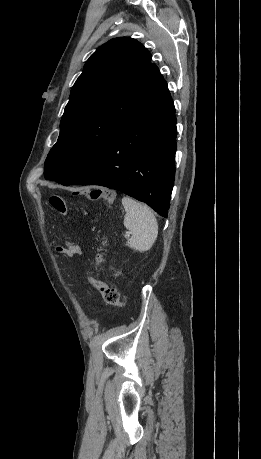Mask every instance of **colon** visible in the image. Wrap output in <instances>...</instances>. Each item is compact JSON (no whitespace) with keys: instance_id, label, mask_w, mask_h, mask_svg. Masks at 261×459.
Returning <instances> with one entry per match:
<instances>
[{"instance_id":"obj_1","label":"colon","mask_w":261,"mask_h":459,"mask_svg":"<svg viewBox=\"0 0 261 459\" xmlns=\"http://www.w3.org/2000/svg\"><path fill=\"white\" fill-rule=\"evenodd\" d=\"M72 195L73 197H89L91 200L104 199L109 204H111L114 200V195L112 193L98 188H73ZM49 203L58 214L62 216H66L68 214L67 200L64 197L60 195H51ZM102 262L103 255L101 253H97L95 255L94 270L88 278L89 283L101 293L106 304L112 306H123L124 303L120 300L118 290L110 287L96 277V272L100 268Z\"/></svg>"}]
</instances>
